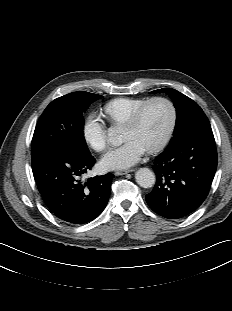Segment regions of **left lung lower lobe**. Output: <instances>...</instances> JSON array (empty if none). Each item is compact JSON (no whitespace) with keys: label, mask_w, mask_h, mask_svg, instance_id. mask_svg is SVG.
I'll return each mask as SVG.
<instances>
[{"label":"left lung lower lobe","mask_w":232,"mask_h":311,"mask_svg":"<svg viewBox=\"0 0 232 311\" xmlns=\"http://www.w3.org/2000/svg\"><path fill=\"white\" fill-rule=\"evenodd\" d=\"M217 167L215 140L209 123L178 138L154 162L156 185L146 195L149 207L167 219L195 211L206 199Z\"/></svg>","instance_id":"left-lung-lower-lobe-1"}]
</instances>
